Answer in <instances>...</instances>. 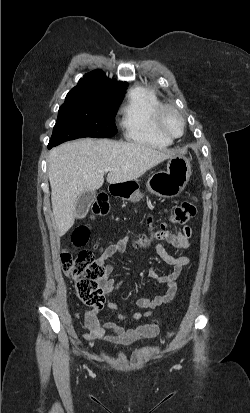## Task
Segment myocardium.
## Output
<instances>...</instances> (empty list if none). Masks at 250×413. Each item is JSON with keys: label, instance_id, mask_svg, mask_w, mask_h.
I'll use <instances>...</instances> for the list:
<instances>
[{"label": "myocardium", "instance_id": "obj_1", "mask_svg": "<svg viewBox=\"0 0 250 413\" xmlns=\"http://www.w3.org/2000/svg\"><path fill=\"white\" fill-rule=\"evenodd\" d=\"M172 113L174 114L181 122V132L178 135H174L171 134L170 132H168L164 126V116L166 113ZM154 124H155V128L158 131L159 134H161L163 137L169 139V140H174L177 139L179 137H181L185 131V119L183 117V115L181 114V112L176 109L174 106L169 105V104H161L155 113V117H154Z\"/></svg>", "mask_w": 250, "mask_h": 413}]
</instances>
